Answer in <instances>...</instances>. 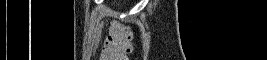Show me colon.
I'll use <instances>...</instances> for the list:
<instances>
[{
	"label": "colon",
	"instance_id": "obj_1",
	"mask_svg": "<svg viewBox=\"0 0 267 60\" xmlns=\"http://www.w3.org/2000/svg\"><path fill=\"white\" fill-rule=\"evenodd\" d=\"M132 32L129 26L118 24L110 31L101 49L103 60H128L131 52Z\"/></svg>",
	"mask_w": 267,
	"mask_h": 60
}]
</instances>
